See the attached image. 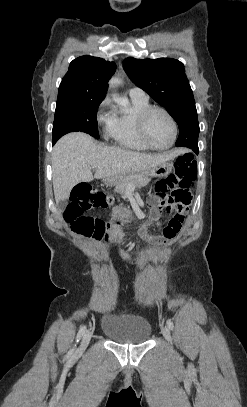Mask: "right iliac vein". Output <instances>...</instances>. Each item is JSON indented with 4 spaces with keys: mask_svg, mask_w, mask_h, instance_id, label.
<instances>
[{
    "mask_svg": "<svg viewBox=\"0 0 247 407\" xmlns=\"http://www.w3.org/2000/svg\"><path fill=\"white\" fill-rule=\"evenodd\" d=\"M91 337H92V333L90 331H87L84 334V336L82 338V341H81V344H80V347L78 349V353H82L86 349V347L88 346V344H89V342L91 340Z\"/></svg>",
    "mask_w": 247,
    "mask_h": 407,
    "instance_id": "right-iliac-vein-1",
    "label": "right iliac vein"
}]
</instances>
